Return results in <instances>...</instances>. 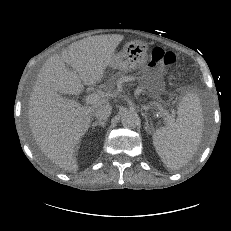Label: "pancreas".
<instances>
[{"label": "pancreas", "mask_w": 231, "mask_h": 231, "mask_svg": "<svg viewBox=\"0 0 231 231\" xmlns=\"http://www.w3.org/2000/svg\"><path fill=\"white\" fill-rule=\"evenodd\" d=\"M133 79H134L133 77L121 75L118 78V82L123 83V82L129 81V80H133Z\"/></svg>", "instance_id": "1"}]
</instances>
